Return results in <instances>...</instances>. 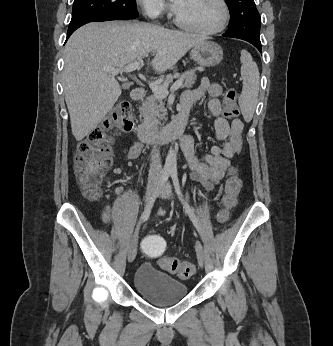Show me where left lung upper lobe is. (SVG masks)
<instances>
[{"label": "left lung upper lobe", "mask_w": 333, "mask_h": 346, "mask_svg": "<svg viewBox=\"0 0 333 346\" xmlns=\"http://www.w3.org/2000/svg\"><path fill=\"white\" fill-rule=\"evenodd\" d=\"M231 22L229 34L260 42L261 17L254 0H226Z\"/></svg>", "instance_id": "obj_1"}]
</instances>
